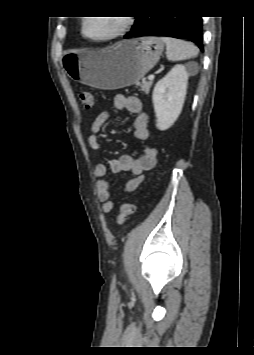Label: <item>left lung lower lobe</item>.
<instances>
[{
	"instance_id": "0a47b994",
	"label": "left lung lower lobe",
	"mask_w": 254,
	"mask_h": 355,
	"mask_svg": "<svg viewBox=\"0 0 254 355\" xmlns=\"http://www.w3.org/2000/svg\"><path fill=\"white\" fill-rule=\"evenodd\" d=\"M137 36H169L188 39L203 50L202 18L180 16H142L137 17L131 32L124 38Z\"/></svg>"
}]
</instances>
